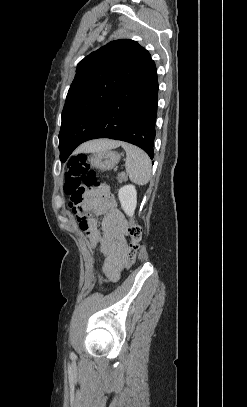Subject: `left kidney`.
Wrapping results in <instances>:
<instances>
[{
  "label": "left kidney",
  "mask_w": 247,
  "mask_h": 407,
  "mask_svg": "<svg viewBox=\"0 0 247 407\" xmlns=\"http://www.w3.org/2000/svg\"><path fill=\"white\" fill-rule=\"evenodd\" d=\"M122 209L128 216H133L137 205V191L134 185H125L118 191Z\"/></svg>",
  "instance_id": "5707ae66"
}]
</instances>
